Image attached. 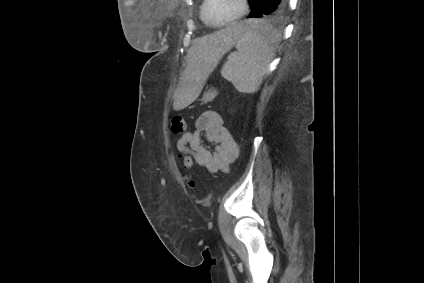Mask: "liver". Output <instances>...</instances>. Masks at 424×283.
I'll use <instances>...</instances> for the list:
<instances>
[{"label": "liver", "instance_id": "obj_1", "mask_svg": "<svg viewBox=\"0 0 424 283\" xmlns=\"http://www.w3.org/2000/svg\"><path fill=\"white\" fill-rule=\"evenodd\" d=\"M243 23H235L210 35L197 38L187 54V66L182 83L174 93L173 109L190 105L198 96L204 82L217 66L220 58L244 35Z\"/></svg>", "mask_w": 424, "mask_h": 283}]
</instances>
